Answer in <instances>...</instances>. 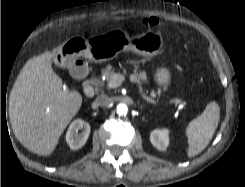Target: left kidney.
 <instances>
[{
    "label": "left kidney",
    "mask_w": 245,
    "mask_h": 187,
    "mask_svg": "<svg viewBox=\"0 0 245 187\" xmlns=\"http://www.w3.org/2000/svg\"><path fill=\"white\" fill-rule=\"evenodd\" d=\"M150 141L158 150L165 151L169 145V130L167 128L153 130Z\"/></svg>",
    "instance_id": "5707ae66"
}]
</instances>
